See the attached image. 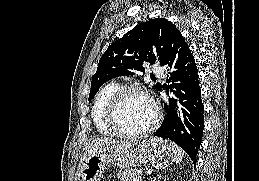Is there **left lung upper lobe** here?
<instances>
[{
  "instance_id": "1",
  "label": "left lung upper lobe",
  "mask_w": 259,
  "mask_h": 181,
  "mask_svg": "<svg viewBox=\"0 0 259 181\" xmlns=\"http://www.w3.org/2000/svg\"><path fill=\"white\" fill-rule=\"evenodd\" d=\"M180 31L164 18L150 19L138 24L122 38L112 43L100 58L97 71L92 77L89 101L108 80L144 72V62H159L164 66ZM160 90L161 85H154Z\"/></svg>"
}]
</instances>
